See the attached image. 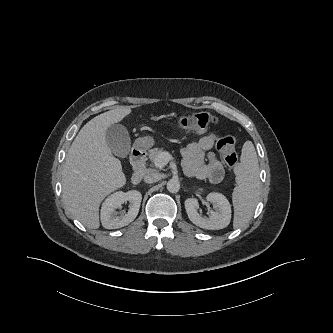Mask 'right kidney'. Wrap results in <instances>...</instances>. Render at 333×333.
<instances>
[{
  "mask_svg": "<svg viewBox=\"0 0 333 333\" xmlns=\"http://www.w3.org/2000/svg\"><path fill=\"white\" fill-rule=\"evenodd\" d=\"M142 195L139 191L131 190L126 193L122 191L111 194L102 204L101 222L106 229H117L131 223L138 215ZM130 202L127 213L117 215L116 209L124 202Z\"/></svg>",
  "mask_w": 333,
  "mask_h": 333,
  "instance_id": "obj_1",
  "label": "right kidney"
}]
</instances>
